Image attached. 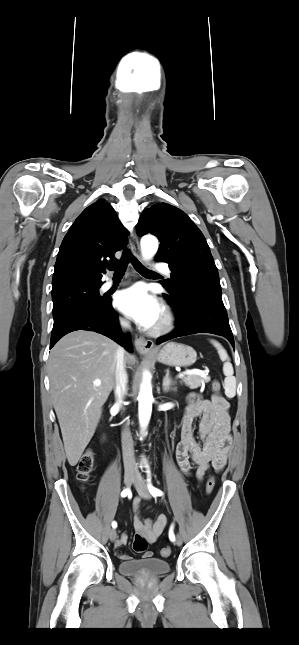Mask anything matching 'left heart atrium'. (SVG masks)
<instances>
[{"label": "left heart atrium", "instance_id": "39dd6f15", "mask_svg": "<svg viewBox=\"0 0 299 645\" xmlns=\"http://www.w3.org/2000/svg\"><path fill=\"white\" fill-rule=\"evenodd\" d=\"M115 305L143 327L153 326L160 316L158 301L138 284L120 291L116 296Z\"/></svg>", "mask_w": 299, "mask_h": 645}]
</instances>
